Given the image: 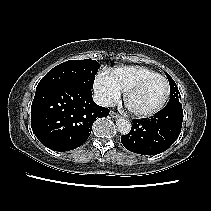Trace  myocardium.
<instances>
[{
    "instance_id": "f54148a6",
    "label": "myocardium",
    "mask_w": 211,
    "mask_h": 211,
    "mask_svg": "<svg viewBox=\"0 0 211 211\" xmlns=\"http://www.w3.org/2000/svg\"><path fill=\"white\" fill-rule=\"evenodd\" d=\"M154 79H162L165 81L167 89H166V93L164 98L162 99V101L153 109L151 110H147V111H138L133 109L130 105H129V97L134 94L135 92H137L138 90H140L143 86H145L147 83H149L150 81L154 80ZM170 92H171V87H170V83L168 81V79L163 76V75H154V76H149L146 78H143L142 80H140L139 82H137L136 84H134L133 86H131L130 88H128L125 93H124V104L126 106V108L128 109V111L133 114L136 117L139 118H147V117H151L155 114H157L158 112H160L165 104L167 103L169 97H170Z\"/></svg>"
}]
</instances>
